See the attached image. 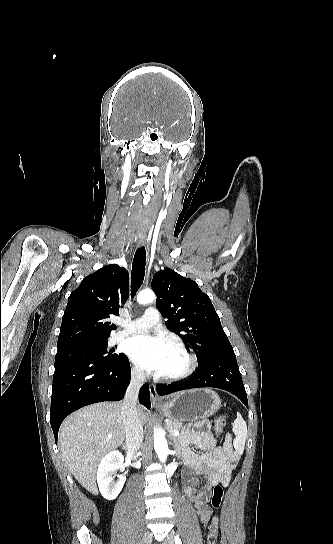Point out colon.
Instances as JSON below:
<instances>
[{
    "label": "colon",
    "mask_w": 333,
    "mask_h": 544,
    "mask_svg": "<svg viewBox=\"0 0 333 544\" xmlns=\"http://www.w3.org/2000/svg\"><path fill=\"white\" fill-rule=\"evenodd\" d=\"M228 414H222L220 415L214 425V430L217 436H221L224 427L227 424L228 421ZM224 495V490L221 485H217L214 487L212 496H211V506L214 509H218L221 506L222 499ZM218 538V518L213 517L211 520V523L208 528V534H207V544H216Z\"/></svg>",
    "instance_id": "1"
}]
</instances>
